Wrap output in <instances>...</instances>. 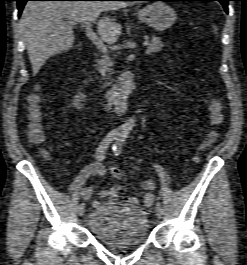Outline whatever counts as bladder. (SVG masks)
<instances>
[{
	"label": "bladder",
	"mask_w": 247,
	"mask_h": 265,
	"mask_svg": "<svg viewBox=\"0 0 247 265\" xmlns=\"http://www.w3.org/2000/svg\"><path fill=\"white\" fill-rule=\"evenodd\" d=\"M88 228L100 243L113 248H126L146 240L149 220L140 206L105 202L89 214Z\"/></svg>",
	"instance_id": "obj_1"
}]
</instances>
